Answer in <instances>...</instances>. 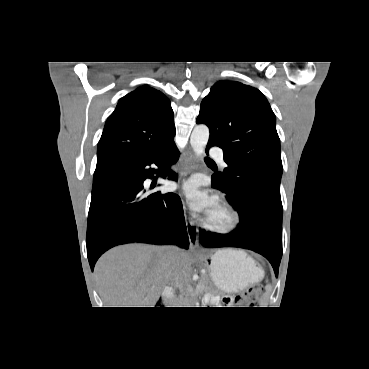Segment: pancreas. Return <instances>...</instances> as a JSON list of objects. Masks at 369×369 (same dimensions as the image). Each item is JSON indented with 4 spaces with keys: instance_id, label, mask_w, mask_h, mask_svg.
I'll return each mask as SVG.
<instances>
[{
    "instance_id": "pancreas-1",
    "label": "pancreas",
    "mask_w": 369,
    "mask_h": 369,
    "mask_svg": "<svg viewBox=\"0 0 369 369\" xmlns=\"http://www.w3.org/2000/svg\"><path fill=\"white\" fill-rule=\"evenodd\" d=\"M198 291L199 292H203V290H205V288H206V286H205V283H204V281H200L199 283H198ZM183 303L184 304H189L190 303V300H189V298H185L184 299V301H183Z\"/></svg>"
}]
</instances>
